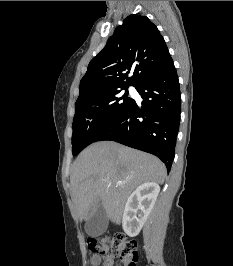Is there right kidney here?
<instances>
[{
    "mask_svg": "<svg viewBox=\"0 0 233 266\" xmlns=\"http://www.w3.org/2000/svg\"><path fill=\"white\" fill-rule=\"evenodd\" d=\"M159 192L160 186L157 183L146 182L129 196L122 219L123 230L128 236L135 237L139 234Z\"/></svg>",
    "mask_w": 233,
    "mask_h": 266,
    "instance_id": "ca27d5eb",
    "label": "right kidney"
}]
</instances>
